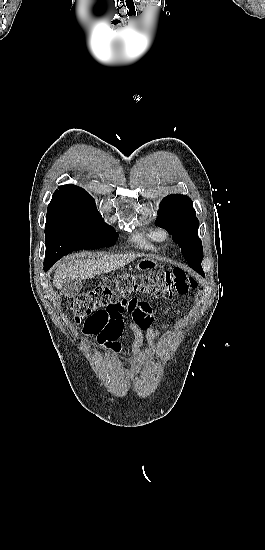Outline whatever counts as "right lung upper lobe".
Masks as SVG:
<instances>
[{
    "mask_svg": "<svg viewBox=\"0 0 265 550\" xmlns=\"http://www.w3.org/2000/svg\"><path fill=\"white\" fill-rule=\"evenodd\" d=\"M91 197L84 189L73 184L59 186L53 194L51 203L73 202Z\"/></svg>",
    "mask_w": 265,
    "mask_h": 550,
    "instance_id": "cb5924a9",
    "label": "right lung upper lobe"
}]
</instances>
